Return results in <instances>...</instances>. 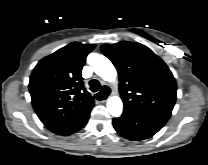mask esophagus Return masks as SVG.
<instances>
[{
	"label": "esophagus",
	"instance_id": "1",
	"mask_svg": "<svg viewBox=\"0 0 208 165\" xmlns=\"http://www.w3.org/2000/svg\"><path fill=\"white\" fill-rule=\"evenodd\" d=\"M106 87V86H105ZM108 90H109V88L108 87H106ZM109 95V94H108ZM108 100V97L105 99V100H102V101H99V102H101V103H104V102H106Z\"/></svg>",
	"mask_w": 208,
	"mask_h": 165
}]
</instances>
